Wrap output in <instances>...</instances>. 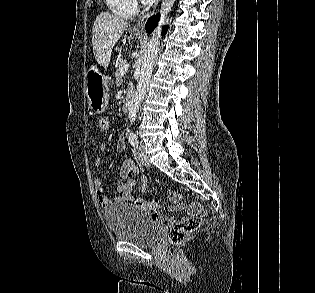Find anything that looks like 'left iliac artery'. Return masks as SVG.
<instances>
[{
    "mask_svg": "<svg viewBox=\"0 0 315 293\" xmlns=\"http://www.w3.org/2000/svg\"><path fill=\"white\" fill-rule=\"evenodd\" d=\"M128 140L133 147H138L139 142L135 133H130Z\"/></svg>",
    "mask_w": 315,
    "mask_h": 293,
    "instance_id": "obj_1",
    "label": "left iliac artery"
}]
</instances>
